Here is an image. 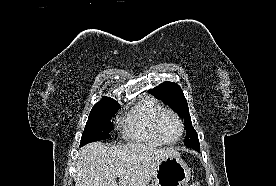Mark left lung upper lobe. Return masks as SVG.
Masks as SVG:
<instances>
[{
	"label": "left lung upper lobe",
	"mask_w": 276,
	"mask_h": 186,
	"mask_svg": "<svg viewBox=\"0 0 276 186\" xmlns=\"http://www.w3.org/2000/svg\"><path fill=\"white\" fill-rule=\"evenodd\" d=\"M150 92L172 108L179 117L185 119V145L191 148L199 146L198 134L192 126L187 100L180 86L176 83L164 82L151 89Z\"/></svg>",
	"instance_id": "left-lung-upper-lobe-1"
}]
</instances>
